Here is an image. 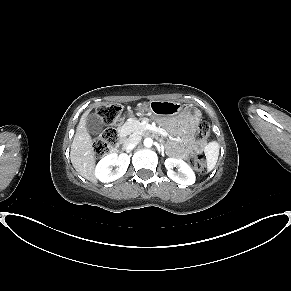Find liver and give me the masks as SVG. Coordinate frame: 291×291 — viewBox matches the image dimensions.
<instances>
[{"mask_svg": "<svg viewBox=\"0 0 291 291\" xmlns=\"http://www.w3.org/2000/svg\"><path fill=\"white\" fill-rule=\"evenodd\" d=\"M88 113L81 116L79 125L71 144L70 158L75 170L85 179L95 182V157L92 148V138L86 128Z\"/></svg>", "mask_w": 291, "mask_h": 291, "instance_id": "6515ba94", "label": "liver"}]
</instances>
